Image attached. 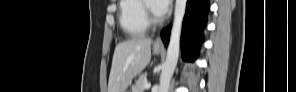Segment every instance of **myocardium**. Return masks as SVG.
<instances>
[{
    "mask_svg": "<svg viewBox=\"0 0 296 92\" xmlns=\"http://www.w3.org/2000/svg\"><path fill=\"white\" fill-rule=\"evenodd\" d=\"M144 17L148 25H156L160 22V18L153 14L150 1H144Z\"/></svg>",
    "mask_w": 296,
    "mask_h": 92,
    "instance_id": "f54148a6",
    "label": "myocardium"
}]
</instances>
